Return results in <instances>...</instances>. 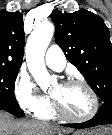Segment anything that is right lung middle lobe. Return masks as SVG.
Returning a JSON list of instances; mask_svg holds the SVG:
<instances>
[{
	"label": "right lung middle lobe",
	"mask_w": 112,
	"mask_h": 135,
	"mask_svg": "<svg viewBox=\"0 0 112 135\" xmlns=\"http://www.w3.org/2000/svg\"><path fill=\"white\" fill-rule=\"evenodd\" d=\"M20 65H0V104L18 105L14 94V82Z\"/></svg>",
	"instance_id": "obj_1"
}]
</instances>
